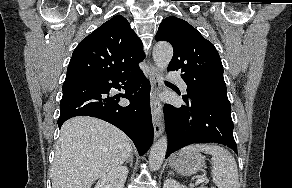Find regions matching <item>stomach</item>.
<instances>
[{"label":"stomach","mask_w":292,"mask_h":188,"mask_svg":"<svg viewBox=\"0 0 292 188\" xmlns=\"http://www.w3.org/2000/svg\"><path fill=\"white\" fill-rule=\"evenodd\" d=\"M169 166L179 174L189 176L205 166V157L198 152H180L170 158Z\"/></svg>","instance_id":"0dacf381"}]
</instances>
